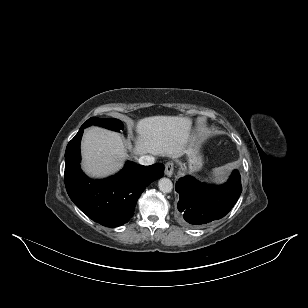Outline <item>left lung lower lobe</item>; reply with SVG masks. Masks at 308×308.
Here are the masks:
<instances>
[{
    "label": "left lung lower lobe",
    "instance_id": "left-lung-lower-lobe-1",
    "mask_svg": "<svg viewBox=\"0 0 308 308\" xmlns=\"http://www.w3.org/2000/svg\"><path fill=\"white\" fill-rule=\"evenodd\" d=\"M176 191L182 220L191 225H202L221 219L232 209L242 192L241 176L235 170L221 186L206 185L185 176L177 181Z\"/></svg>",
    "mask_w": 308,
    "mask_h": 308
}]
</instances>
